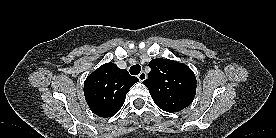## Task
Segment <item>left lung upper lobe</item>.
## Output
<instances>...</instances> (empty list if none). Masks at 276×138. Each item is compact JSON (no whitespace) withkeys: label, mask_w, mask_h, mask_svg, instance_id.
<instances>
[{"label":"left lung upper lobe","mask_w":276,"mask_h":138,"mask_svg":"<svg viewBox=\"0 0 276 138\" xmlns=\"http://www.w3.org/2000/svg\"><path fill=\"white\" fill-rule=\"evenodd\" d=\"M151 72L143 81L155 104L166 112H178L189 106L196 93V77L185 64L156 58L150 61Z\"/></svg>","instance_id":"left-lung-upper-lobe-1"}]
</instances>
